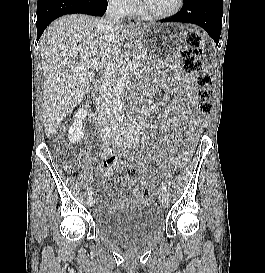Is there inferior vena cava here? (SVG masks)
<instances>
[{"label": "inferior vena cava", "instance_id": "602c4592", "mask_svg": "<svg viewBox=\"0 0 265 273\" xmlns=\"http://www.w3.org/2000/svg\"><path fill=\"white\" fill-rule=\"evenodd\" d=\"M126 13L124 0H110L106 10V18L99 21L98 26L103 32V38L110 41L120 26V20ZM116 79V70L108 65L103 73L97 100L98 124L101 135L116 131L117 125L112 110V87Z\"/></svg>", "mask_w": 265, "mask_h": 273}]
</instances>
